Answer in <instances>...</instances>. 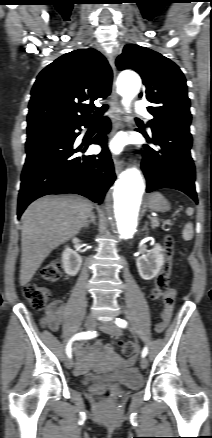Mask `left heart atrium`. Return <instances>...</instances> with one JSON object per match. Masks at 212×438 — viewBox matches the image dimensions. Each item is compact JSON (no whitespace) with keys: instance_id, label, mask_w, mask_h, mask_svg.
I'll list each match as a JSON object with an SVG mask.
<instances>
[{"instance_id":"obj_1","label":"left heart atrium","mask_w":212,"mask_h":438,"mask_svg":"<svg viewBox=\"0 0 212 438\" xmlns=\"http://www.w3.org/2000/svg\"><path fill=\"white\" fill-rule=\"evenodd\" d=\"M106 147L111 153L118 154L123 149V141L119 138H114L106 144Z\"/></svg>"}]
</instances>
